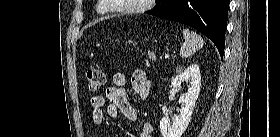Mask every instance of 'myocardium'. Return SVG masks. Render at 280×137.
Here are the masks:
<instances>
[{
    "label": "myocardium",
    "mask_w": 280,
    "mask_h": 137,
    "mask_svg": "<svg viewBox=\"0 0 280 137\" xmlns=\"http://www.w3.org/2000/svg\"><path fill=\"white\" fill-rule=\"evenodd\" d=\"M103 1L108 2V0H103ZM152 2L153 0H140V3L138 5L129 6L121 9H115L111 4H106V5L109 9H112L122 14H135L148 9L150 3Z\"/></svg>",
    "instance_id": "myocardium-1"
}]
</instances>
